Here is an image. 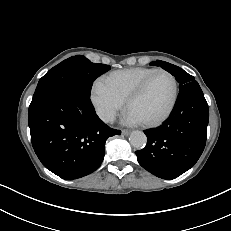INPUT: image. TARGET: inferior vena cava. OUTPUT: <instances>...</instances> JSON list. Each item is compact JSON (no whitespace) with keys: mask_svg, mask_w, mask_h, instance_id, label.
<instances>
[{"mask_svg":"<svg viewBox=\"0 0 231 231\" xmlns=\"http://www.w3.org/2000/svg\"><path fill=\"white\" fill-rule=\"evenodd\" d=\"M98 116L104 122H113L115 120V113L113 111L100 110V111H98Z\"/></svg>","mask_w":231,"mask_h":231,"instance_id":"1","label":"inferior vena cava"}]
</instances>
